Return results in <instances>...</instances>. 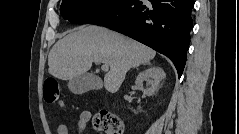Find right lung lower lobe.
<instances>
[{"label": "right lung lower lobe", "instance_id": "obj_1", "mask_svg": "<svg viewBox=\"0 0 239 134\" xmlns=\"http://www.w3.org/2000/svg\"><path fill=\"white\" fill-rule=\"evenodd\" d=\"M193 0H120L85 24L105 26L169 57L183 73Z\"/></svg>", "mask_w": 239, "mask_h": 134}]
</instances>
